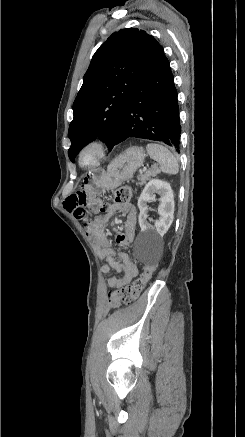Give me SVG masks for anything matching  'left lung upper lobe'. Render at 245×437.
Instances as JSON below:
<instances>
[{
	"label": "left lung upper lobe",
	"instance_id": "1",
	"mask_svg": "<svg viewBox=\"0 0 245 437\" xmlns=\"http://www.w3.org/2000/svg\"><path fill=\"white\" fill-rule=\"evenodd\" d=\"M159 46L145 31L127 28L113 33L95 52L73 103L68 131L72 162L96 138L112 148L125 105Z\"/></svg>",
	"mask_w": 245,
	"mask_h": 437
}]
</instances>
